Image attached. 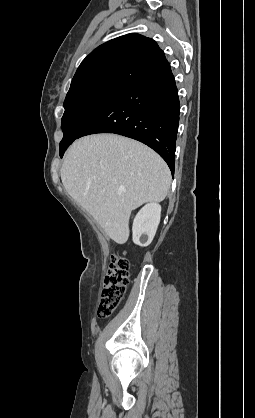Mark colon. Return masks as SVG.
<instances>
[{"instance_id":"1","label":"colon","mask_w":255,"mask_h":418,"mask_svg":"<svg viewBox=\"0 0 255 418\" xmlns=\"http://www.w3.org/2000/svg\"><path fill=\"white\" fill-rule=\"evenodd\" d=\"M129 279V261L122 256L112 257L98 305L100 317H108L116 310L124 297Z\"/></svg>"}]
</instances>
